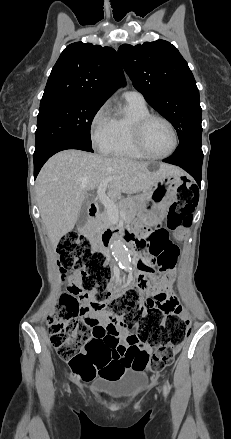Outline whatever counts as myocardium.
<instances>
[{
	"mask_svg": "<svg viewBox=\"0 0 231 439\" xmlns=\"http://www.w3.org/2000/svg\"><path fill=\"white\" fill-rule=\"evenodd\" d=\"M152 120H161V121L165 122L169 126V128L171 129L174 143H173L171 150L169 152H167L166 154H162V155L154 154L146 146L144 134H145V130H146L148 124ZM133 138H134V143H135L136 147L138 148V150L142 154H144L147 158H151V159H165V158L170 157L177 150L178 144H179L178 132H177L176 127L172 123V121L163 115L154 114V113H149V114L143 116L135 123L134 131H133Z\"/></svg>",
	"mask_w": 231,
	"mask_h": 439,
	"instance_id": "myocardium-1",
	"label": "myocardium"
}]
</instances>
